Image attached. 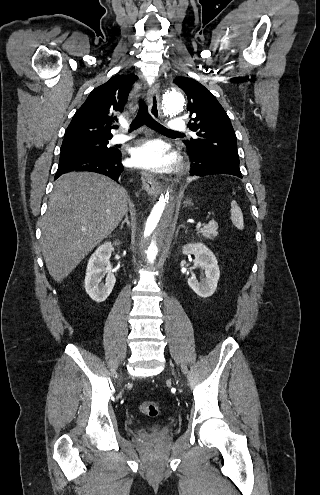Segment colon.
<instances>
[{"mask_svg": "<svg viewBox=\"0 0 320 495\" xmlns=\"http://www.w3.org/2000/svg\"><path fill=\"white\" fill-rule=\"evenodd\" d=\"M139 410L146 416L156 417L159 414L160 405L157 401H145L139 404Z\"/></svg>", "mask_w": 320, "mask_h": 495, "instance_id": "colon-1", "label": "colon"}]
</instances>
